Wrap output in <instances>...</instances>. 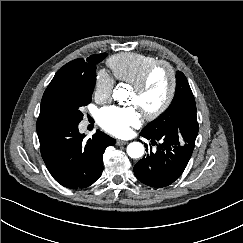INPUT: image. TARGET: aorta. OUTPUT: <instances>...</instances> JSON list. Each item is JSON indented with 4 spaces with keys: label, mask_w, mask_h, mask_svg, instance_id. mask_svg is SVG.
<instances>
[{
    "label": "aorta",
    "mask_w": 243,
    "mask_h": 243,
    "mask_svg": "<svg viewBox=\"0 0 243 243\" xmlns=\"http://www.w3.org/2000/svg\"><path fill=\"white\" fill-rule=\"evenodd\" d=\"M128 97V92L123 88H117L113 91V98L118 101H124ZM145 148L140 142H132L127 146V154L133 159L143 156Z\"/></svg>",
    "instance_id": "aorta-1"
}]
</instances>
